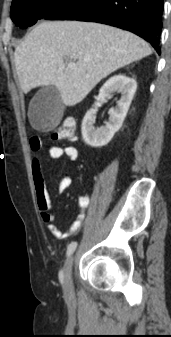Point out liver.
I'll list each match as a JSON object with an SVG mask.
<instances>
[{
  "mask_svg": "<svg viewBox=\"0 0 171 337\" xmlns=\"http://www.w3.org/2000/svg\"><path fill=\"white\" fill-rule=\"evenodd\" d=\"M152 53L137 35L92 22L44 21L15 49L22 91L55 86L66 106L81 102L105 77ZM76 61L70 69L65 60Z\"/></svg>",
  "mask_w": 171,
  "mask_h": 337,
  "instance_id": "1",
  "label": "liver"
}]
</instances>
